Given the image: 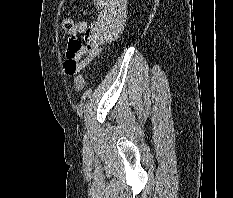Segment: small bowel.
<instances>
[{
  "mask_svg": "<svg viewBox=\"0 0 233 198\" xmlns=\"http://www.w3.org/2000/svg\"><path fill=\"white\" fill-rule=\"evenodd\" d=\"M126 21L127 0H103L102 10L95 22H80L75 25L76 34L82 35L86 45L81 43L74 50L71 36L67 54L73 52L79 69L85 67L100 53L104 43L114 40L123 31Z\"/></svg>",
  "mask_w": 233,
  "mask_h": 198,
  "instance_id": "small-bowel-1",
  "label": "small bowel"
}]
</instances>
